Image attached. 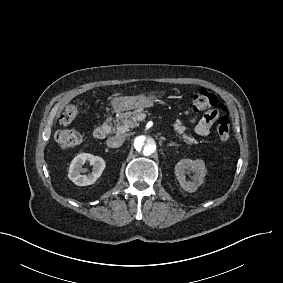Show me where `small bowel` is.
Returning a JSON list of instances; mask_svg holds the SVG:
<instances>
[{
  "instance_id": "small-bowel-1",
  "label": "small bowel",
  "mask_w": 283,
  "mask_h": 283,
  "mask_svg": "<svg viewBox=\"0 0 283 283\" xmlns=\"http://www.w3.org/2000/svg\"><path fill=\"white\" fill-rule=\"evenodd\" d=\"M225 109L222 105L217 104L213 107L212 111L204 114L200 121L195 126V132L197 135L205 137L209 134L210 128L215 117L220 118L224 115Z\"/></svg>"
}]
</instances>
